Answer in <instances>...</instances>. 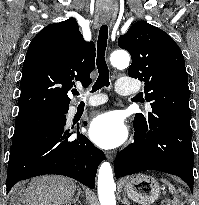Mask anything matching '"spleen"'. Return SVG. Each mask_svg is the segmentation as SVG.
Instances as JSON below:
<instances>
[{"label":"spleen","mask_w":199,"mask_h":205,"mask_svg":"<svg viewBox=\"0 0 199 205\" xmlns=\"http://www.w3.org/2000/svg\"><path fill=\"white\" fill-rule=\"evenodd\" d=\"M161 181L167 184L168 189L172 194L175 193V187L170 182L166 181L165 179H161Z\"/></svg>","instance_id":"1"}]
</instances>
